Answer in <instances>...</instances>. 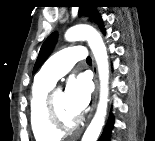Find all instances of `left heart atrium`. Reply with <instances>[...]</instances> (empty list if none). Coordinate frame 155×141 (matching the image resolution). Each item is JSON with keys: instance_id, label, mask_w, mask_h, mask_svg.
I'll return each instance as SVG.
<instances>
[{"instance_id": "obj_1", "label": "left heart atrium", "mask_w": 155, "mask_h": 141, "mask_svg": "<svg viewBox=\"0 0 155 141\" xmlns=\"http://www.w3.org/2000/svg\"><path fill=\"white\" fill-rule=\"evenodd\" d=\"M64 97L68 109L76 116L80 115L90 101V84L85 76L72 78L68 81Z\"/></svg>"}]
</instances>
